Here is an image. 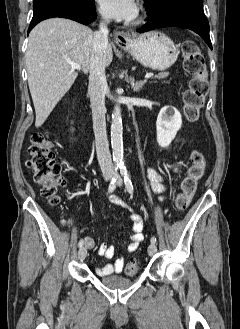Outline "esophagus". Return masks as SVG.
Returning a JSON list of instances; mask_svg holds the SVG:
<instances>
[{
  "label": "esophagus",
  "instance_id": "1",
  "mask_svg": "<svg viewBox=\"0 0 240 329\" xmlns=\"http://www.w3.org/2000/svg\"><path fill=\"white\" fill-rule=\"evenodd\" d=\"M114 40L120 47H128L132 43L131 35L127 32H114Z\"/></svg>",
  "mask_w": 240,
  "mask_h": 329
}]
</instances>
